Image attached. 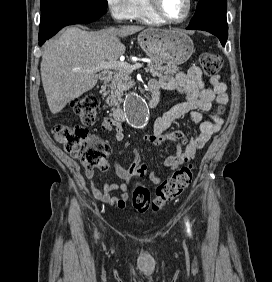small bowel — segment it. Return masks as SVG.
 Instances as JSON below:
<instances>
[{
	"instance_id": "c3829d8e",
	"label": "small bowel",
	"mask_w": 272,
	"mask_h": 282,
	"mask_svg": "<svg viewBox=\"0 0 272 282\" xmlns=\"http://www.w3.org/2000/svg\"><path fill=\"white\" fill-rule=\"evenodd\" d=\"M160 89L176 91L185 97V101L174 106L169 112L160 116L154 125L153 134L143 137V140L155 145H161L168 140L180 141L182 135L179 132L170 130L172 122L186 114H189L192 121L199 125L200 133L196 138L184 139L180 142V150L175 156L165 159L164 165L170 169H177L182 164L190 161L196 155L197 150L203 148L212 135L222 125L221 118L213 115L212 121H203L202 112H211L212 106L226 104L228 102L227 86L218 76H212L207 85L200 68L192 66L187 73H178L175 77L164 76L159 80ZM104 131H114L115 139L118 141L124 138L122 123L112 118H107L102 123ZM92 139H98L92 136ZM107 155H110L108 151ZM133 164L130 168H124L118 161L115 163L117 182L106 183L99 187L93 181L94 170L86 169L85 177L91 181V189L94 196L104 203L114 205L117 208L125 209L129 200L128 187L129 179L136 170L144 169L138 151L134 152ZM153 184H160V176L151 172L149 175Z\"/></svg>"
}]
</instances>
